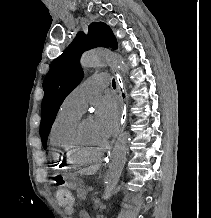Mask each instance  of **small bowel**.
Returning <instances> with one entry per match:
<instances>
[{"label": "small bowel", "instance_id": "1", "mask_svg": "<svg viewBox=\"0 0 211 218\" xmlns=\"http://www.w3.org/2000/svg\"><path fill=\"white\" fill-rule=\"evenodd\" d=\"M66 210H67V212H69V213H70V212H72V211H73V207H72V206H69V207H67V209H66Z\"/></svg>", "mask_w": 211, "mask_h": 218}]
</instances>
